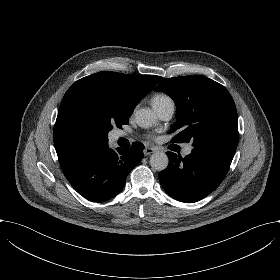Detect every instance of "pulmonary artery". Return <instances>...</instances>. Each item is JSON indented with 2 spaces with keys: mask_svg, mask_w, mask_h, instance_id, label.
I'll return each instance as SVG.
<instances>
[{
  "mask_svg": "<svg viewBox=\"0 0 280 280\" xmlns=\"http://www.w3.org/2000/svg\"><path fill=\"white\" fill-rule=\"evenodd\" d=\"M153 107L162 120H170L175 112V103L171 99H167L166 101H163L159 104H153ZM120 136H124V134L120 133ZM191 152L192 146L188 144L183 148L182 155L188 156L191 154Z\"/></svg>",
  "mask_w": 280,
  "mask_h": 280,
  "instance_id": "obj_1",
  "label": "pulmonary artery"
}]
</instances>
